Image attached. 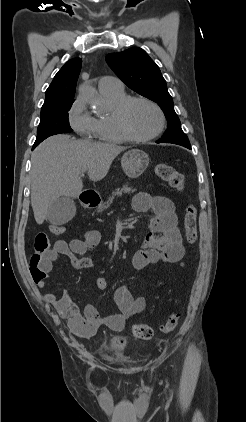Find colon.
<instances>
[{"label":"colon","mask_w":246,"mask_h":422,"mask_svg":"<svg viewBox=\"0 0 246 422\" xmlns=\"http://www.w3.org/2000/svg\"><path fill=\"white\" fill-rule=\"evenodd\" d=\"M155 174L166 181L171 187L181 190L184 187V177L175 168L168 164H157L154 168ZM183 227L185 239L189 244H194L198 237L197 229V209L193 205H188L183 218ZM49 231L53 235H62L65 227L59 224L49 226ZM50 251V242L44 232H39L35 236L34 252L30 257L29 270L33 280H39L45 277L46 255ZM180 314L172 313L162 324L163 333L173 332L179 324ZM133 334L140 340H149L153 337V329L146 324H136L133 326ZM121 342V341H120Z\"/></svg>","instance_id":"1"}]
</instances>
